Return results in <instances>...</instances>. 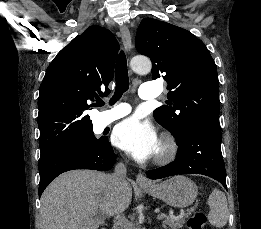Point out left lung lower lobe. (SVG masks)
<instances>
[{
    "instance_id": "left-lung-lower-lobe-1",
    "label": "left lung lower lobe",
    "mask_w": 261,
    "mask_h": 229,
    "mask_svg": "<svg viewBox=\"0 0 261 229\" xmlns=\"http://www.w3.org/2000/svg\"><path fill=\"white\" fill-rule=\"evenodd\" d=\"M222 133L205 125L188 131L180 146L177 159L169 165L149 170V179L173 175L202 174L219 181L226 189V170L221 153Z\"/></svg>"
}]
</instances>
